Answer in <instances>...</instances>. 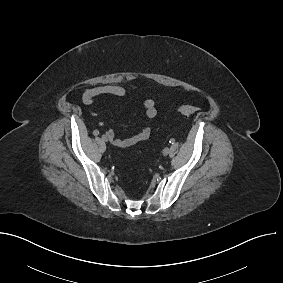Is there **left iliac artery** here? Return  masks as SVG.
Segmentation results:
<instances>
[{
	"mask_svg": "<svg viewBox=\"0 0 283 283\" xmlns=\"http://www.w3.org/2000/svg\"><path fill=\"white\" fill-rule=\"evenodd\" d=\"M171 144H174L175 143V139H170V141H169Z\"/></svg>",
	"mask_w": 283,
	"mask_h": 283,
	"instance_id": "left-iliac-artery-1",
	"label": "left iliac artery"
}]
</instances>
